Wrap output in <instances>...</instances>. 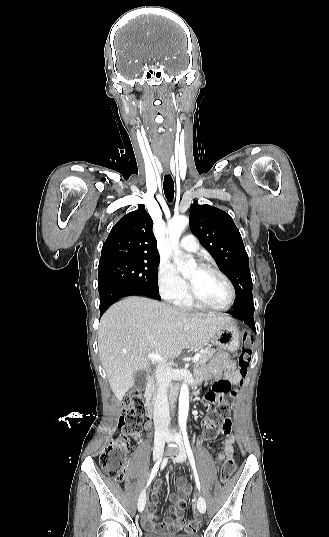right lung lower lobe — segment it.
<instances>
[{"instance_id": "1", "label": "right lung lower lobe", "mask_w": 329, "mask_h": 537, "mask_svg": "<svg viewBox=\"0 0 329 537\" xmlns=\"http://www.w3.org/2000/svg\"><path fill=\"white\" fill-rule=\"evenodd\" d=\"M100 294V314L101 316L106 311L109 305L125 296L142 295L152 297L154 299H161L159 292L149 290L147 288L117 284V283H103L98 285Z\"/></svg>"}]
</instances>
